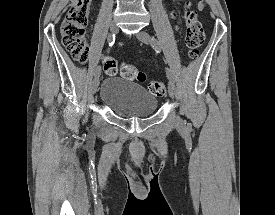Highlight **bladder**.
Segmentation results:
<instances>
[{
  "label": "bladder",
  "mask_w": 275,
  "mask_h": 215,
  "mask_svg": "<svg viewBox=\"0 0 275 215\" xmlns=\"http://www.w3.org/2000/svg\"><path fill=\"white\" fill-rule=\"evenodd\" d=\"M99 97L104 106L121 118L151 116L158 105L155 94L146 91L137 82L118 76L104 79Z\"/></svg>",
  "instance_id": "bladder-1"
}]
</instances>
